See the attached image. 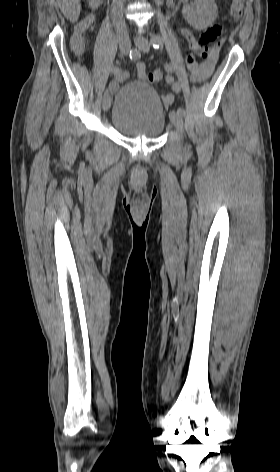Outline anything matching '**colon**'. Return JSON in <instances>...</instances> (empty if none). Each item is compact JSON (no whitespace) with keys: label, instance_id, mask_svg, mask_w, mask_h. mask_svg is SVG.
Segmentation results:
<instances>
[{"label":"colon","instance_id":"obj_1","mask_svg":"<svg viewBox=\"0 0 280 472\" xmlns=\"http://www.w3.org/2000/svg\"><path fill=\"white\" fill-rule=\"evenodd\" d=\"M244 0H232L230 6V15L234 20H239L243 14ZM223 32V26L216 24L209 27L191 46V54L187 57L188 64L196 63L195 57H209L219 46L220 42H216ZM216 42L214 46H211ZM147 79L151 83L158 82L162 79V72L158 69L148 74Z\"/></svg>","mask_w":280,"mask_h":472}]
</instances>
